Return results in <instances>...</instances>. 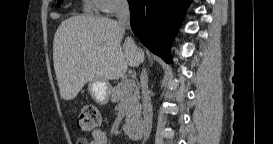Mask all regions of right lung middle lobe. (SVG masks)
<instances>
[{"mask_svg": "<svg viewBox=\"0 0 273 144\" xmlns=\"http://www.w3.org/2000/svg\"><path fill=\"white\" fill-rule=\"evenodd\" d=\"M62 0H58V5L61 3Z\"/></svg>", "mask_w": 273, "mask_h": 144, "instance_id": "dd1d6c3e", "label": "right lung middle lobe"}]
</instances>
